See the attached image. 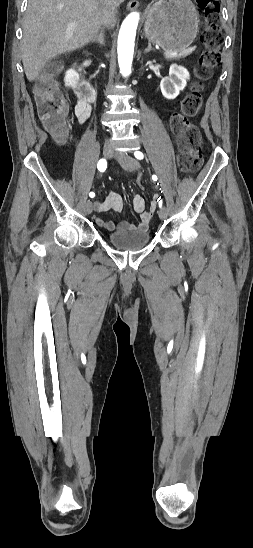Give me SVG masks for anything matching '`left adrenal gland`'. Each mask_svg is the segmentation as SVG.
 Here are the masks:
<instances>
[{"mask_svg": "<svg viewBox=\"0 0 253 548\" xmlns=\"http://www.w3.org/2000/svg\"><path fill=\"white\" fill-rule=\"evenodd\" d=\"M154 50L151 46V43H148V47L144 50V53H149L150 51Z\"/></svg>", "mask_w": 253, "mask_h": 548, "instance_id": "left-adrenal-gland-1", "label": "left adrenal gland"}]
</instances>
